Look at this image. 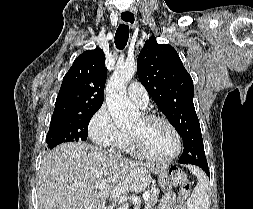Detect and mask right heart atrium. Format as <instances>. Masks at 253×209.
Returning a JSON list of instances; mask_svg holds the SVG:
<instances>
[{
  "instance_id": "1",
  "label": "right heart atrium",
  "mask_w": 253,
  "mask_h": 209,
  "mask_svg": "<svg viewBox=\"0 0 253 209\" xmlns=\"http://www.w3.org/2000/svg\"><path fill=\"white\" fill-rule=\"evenodd\" d=\"M88 133L91 140L101 147L122 148L128 140V134L116 126L104 106L99 108L91 118Z\"/></svg>"
}]
</instances>
